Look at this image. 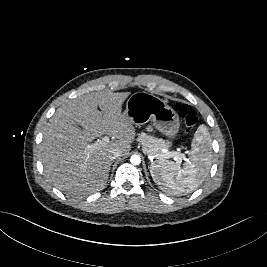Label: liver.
<instances>
[{"mask_svg": "<svg viewBox=\"0 0 267 267\" xmlns=\"http://www.w3.org/2000/svg\"><path fill=\"white\" fill-rule=\"evenodd\" d=\"M129 95L85 94L56 110L44 129L40 146L45 175L56 188L68 195H80L104 187L111 165L109 151L116 148L127 155L136 135L132 121L122 112ZM103 134L114 140L87 149Z\"/></svg>", "mask_w": 267, "mask_h": 267, "instance_id": "1", "label": "liver"}]
</instances>
